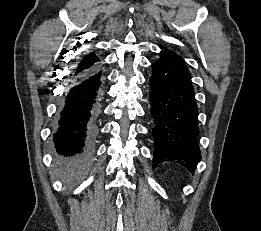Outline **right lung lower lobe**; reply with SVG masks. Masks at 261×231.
I'll return each mask as SVG.
<instances>
[{
  "mask_svg": "<svg viewBox=\"0 0 261 231\" xmlns=\"http://www.w3.org/2000/svg\"><path fill=\"white\" fill-rule=\"evenodd\" d=\"M103 72L100 67L73 78L59 102L53 140L62 164H79L92 152Z\"/></svg>",
  "mask_w": 261,
  "mask_h": 231,
  "instance_id": "1",
  "label": "right lung lower lobe"
}]
</instances>
